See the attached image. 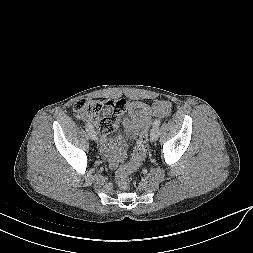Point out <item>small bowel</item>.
I'll list each match as a JSON object with an SVG mask.
<instances>
[{
    "instance_id": "c3829d8e",
    "label": "small bowel",
    "mask_w": 253,
    "mask_h": 253,
    "mask_svg": "<svg viewBox=\"0 0 253 253\" xmlns=\"http://www.w3.org/2000/svg\"><path fill=\"white\" fill-rule=\"evenodd\" d=\"M171 103L159 100L153 104L142 101H131L126 104L129 120L125 121L128 129L127 135L134 136L139 129L150 125L153 117H166L171 112ZM100 148L106 156L112 169L118 167L128 156L126 136L113 141L108 135H103L100 140Z\"/></svg>"
}]
</instances>
